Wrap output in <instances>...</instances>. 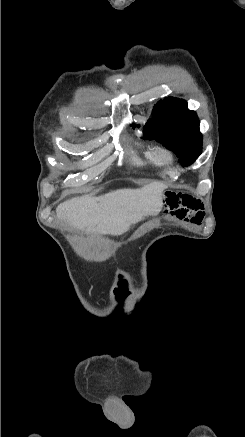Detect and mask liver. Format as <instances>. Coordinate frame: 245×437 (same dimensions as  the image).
I'll return each instance as SVG.
<instances>
[{"instance_id": "obj_1", "label": "liver", "mask_w": 245, "mask_h": 437, "mask_svg": "<svg viewBox=\"0 0 245 437\" xmlns=\"http://www.w3.org/2000/svg\"><path fill=\"white\" fill-rule=\"evenodd\" d=\"M166 185L151 182L137 189H119L99 197L84 195L61 203L57 217L86 233L122 235L131 225L157 216Z\"/></svg>"}]
</instances>
